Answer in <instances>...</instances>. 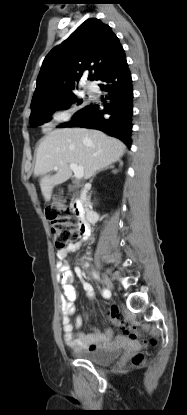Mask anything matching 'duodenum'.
I'll list each match as a JSON object with an SVG mask.
<instances>
[{
  "label": "duodenum",
  "mask_w": 187,
  "mask_h": 415,
  "mask_svg": "<svg viewBox=\"0 0 187 415\" xmlns=\"http://www.w3.org/2000/svg\"><path fill=\"white\" fill-rule=\"evenodd\" d=\"M87 193V188L85 186L82 187L80 189V196L76 197L71 203L74 213L80 218L79 226L83 238H87L89 236L91 223L94 222L96 218L95 212L89 210L85 204L84 199L86 198Z\"/></svg>",
  "instance_id": "obj_1"
}]
</instances>
